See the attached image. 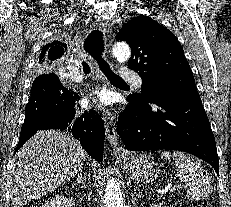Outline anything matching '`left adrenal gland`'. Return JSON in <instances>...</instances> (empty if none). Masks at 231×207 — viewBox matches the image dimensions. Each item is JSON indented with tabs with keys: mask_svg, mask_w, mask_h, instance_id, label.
Instances as JSON below:
<instances>
[{
	"mask_svg": "<svg viewBox=\"0 0 231 207\" xmlns=\"http://www.w3.org/2000/svg\"><path fill=\"white\" fill-rule=\"evenodd\" d=\"M139 197V194L137 193V190L134 189V193L132 195V203L135 204L137 198Z\"/></svg>",
	"mask_w": 231,
	"mask_h": 207,
	"instance_id": "a2214340",
	"label": "left adrenal gland"
}]
</instances>
